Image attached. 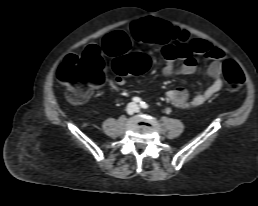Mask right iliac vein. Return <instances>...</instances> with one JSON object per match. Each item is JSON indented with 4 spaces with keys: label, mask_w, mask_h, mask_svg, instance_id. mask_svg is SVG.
<instances>
[{
    "label": "right iliac vein",
    "mask_w": 258,
    "mask_h": 206,
    "mask_svg": "<svg viewBox=\"0 0 258 206\" xmlns=\"http://www.w3.org/2000/svg\"><path fill=\"white\" fill-rule=\"evenodd\" d=\"M127 112H128V114H133V112H134V106L133 105H130L128 108H127Z\"/></svg>",
    "instance_id": "obj_1"
}]
</instances>
